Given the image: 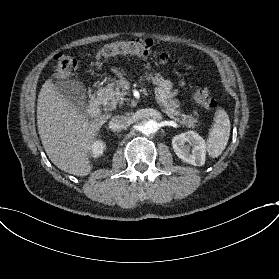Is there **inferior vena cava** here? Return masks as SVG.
I'll return each mask as SVG.
<instances>
[{
	"mask_svg": "<svg viewBox=\"0 0 279 279\" xmlns=\"http://www.w3.org/2000/svg\"><path fill=\"white\" fill-rule=\"evenodd\" d=\"M130 126V120L125 115H115L109 122V127L114 132L127 130Z\"/></svg>",
	"mask_w": 279,
	"mask_h": 279,
	"instance_id": "1",
	"label": "inferior vena cava"
}]
</instances>
